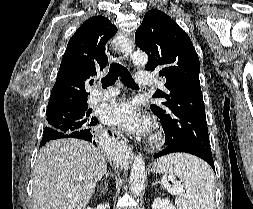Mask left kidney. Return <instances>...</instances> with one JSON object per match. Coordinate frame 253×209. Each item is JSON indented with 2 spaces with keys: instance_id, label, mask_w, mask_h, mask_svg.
I'll list each match as a JSON object with an SVG mask.
<instances>
[{
  "instance_id": "left-kidney-1",
  "label": "left kidney",
  "mask_w": 253,
  "mask_h": 209,
  "mask_svg": "<svg viewBox=\"0 0 253 209\" xmlns=\"http://www.w3.org/2000/svg\"><path fill=\"white\" fill-rule=\"evenodd\" d=\"M152 209H176L168 199L156 198L152 204Z\"/></svg>"
}]
</instances>
